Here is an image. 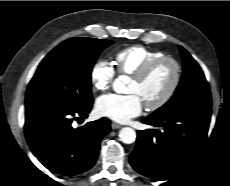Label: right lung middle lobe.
Segmentation results:
<instances>
[{
	"instance_id": "dd1d6c3e",
	"label": "right lung middle lobe",
	"mask_w": 230,
	"mask_h": 186,
	"mask_svg": "<svg viewBox=\"0 0 230 186\" xmlns=\"http://www.w3.org/2000/svg\"><path fill=\"white\" fill-rule=\"evenodd\" d=\"M112 43L79 37L55 47L40 63L28 86L26 108L56 104L75 109L93 102L92 68L100 52Z\"/></svg>"
}]
</instances>
